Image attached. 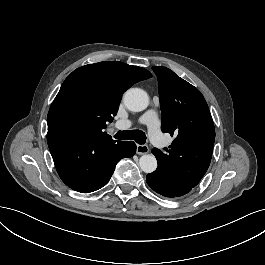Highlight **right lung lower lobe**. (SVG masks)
Wrapping results in <instances>:
<instances>
[{
    "mask_svg": "<svg viewBox=\"0 0 265 265\" xmlns=\"http://www.w3.org/2000/svg\"><path fill=\"white\" fill-rule=\"evenodd\" d=\"M47 142L60 178L81 193L102 188L117 162L136 152L134 142L114 141L109 135L48 131Z\"/></svg>",
    "mask_w": 265,
    "mask_h": 265,
    "instance_id": "98d812e1",
    "label": "right lung lower lobe"
}]
</instances>
